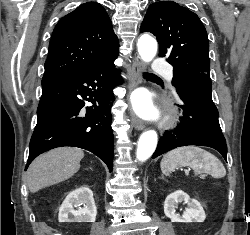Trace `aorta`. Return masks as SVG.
Returning <instances> with one entry per match:
<instances>
[{"label": "aorta", "mask_w": 250, "mask_h": 235, "mask_svg": "<svg viewBox=\"0 0 250 235\" xmlns=\"http://www.w3.org/2000/svg\"><path fill=\"white\" fill-rule=\"evenodd\" d=\"M138 52L141 59L150 62L156 55L157 42L149 35H142L138 40ZM157 146V133L154 130L144 132L138 141L136 157L139 161L147 160Z\"/></svg>", "instance_id": "obj_1"}]
</instances>
